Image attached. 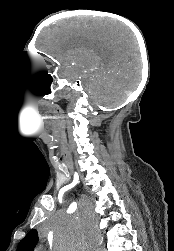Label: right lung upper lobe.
I'll list each match as a JSON object with an SVG mask.
<instances>
[{"label":"right lung upper lobe","mask_w":174,"mask_h":251,"mask_svg":"<svg viewBox=\"0 0 174 251\" xmlns=\"http://www.w3.org/2000/svg\"><path fill=\"white\" fill-rule=\"evenodd\" d=\"M38 243V234L36 230H31L26 237L21 240L18 245L17 251H34Z\"/></svg>","instance_id":"cb5924a9"}]
</instances>
